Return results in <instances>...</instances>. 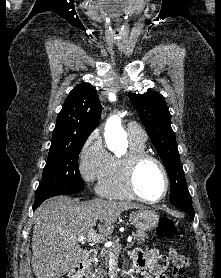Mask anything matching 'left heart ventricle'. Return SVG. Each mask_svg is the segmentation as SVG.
<instances>
[{
  "mask_svg": "<svg viewBox=\"0 0 221 278\" xmlns=\"http://www.w3.org/2000/svg\"><path fill=\"white\" fill-rule=\"evenodd\" d=\"M136 185L140 193L148 199H157L164 190V177L153 161L142 163L136 173Z\"/></svg>",
  "mask_w": 221,
  "mask_h": 278,
  "instance_id": "1",
  "label": "left heart ventricle"
}]
</instances>
